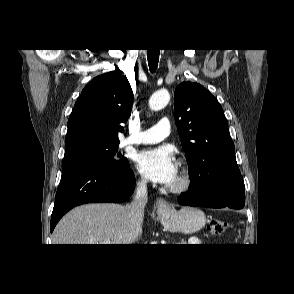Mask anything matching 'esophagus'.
Returning a JSON list of instances; mask_svg holds the SVG:
<instances>
[{"label": "esophagus", "mask_w": 294, "mask_h": 294, "mask_svg": "<svg viewBox=\"0 0 294 294\" xmlns=\"http://www.w3.org/2000/svg\"><path fill=\"white\" fill-rule=\"evenodd\" d=\"M173 211V206L165 199L159 198L157 202V212L161 214H168Z\"/></svg>", "instance_id": "1"}]
</instances>
